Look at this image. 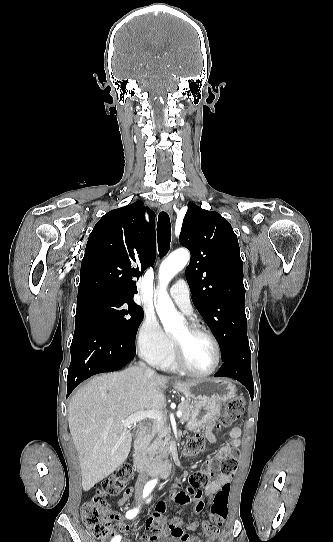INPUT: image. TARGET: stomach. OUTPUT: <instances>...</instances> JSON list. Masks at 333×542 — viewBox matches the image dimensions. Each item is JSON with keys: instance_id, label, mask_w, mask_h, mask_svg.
<instances>
[{"instance_id": "stomach-1", "label": "stomach", "mask_w": 333, "mask_h": 542, "mask_svg": "<svg viewBox=\"0 0 333 542\" xmlns=\"http://www.w3.org/2000/svg\"><path fill=\"white\" fill-rule=\"evenodd\" d=\"M173 388L193 402L188 430H199L217 420L222 404L237 394L235 384L226 378H201L191 382H174Z\"/></svg>"}]
</instances>
